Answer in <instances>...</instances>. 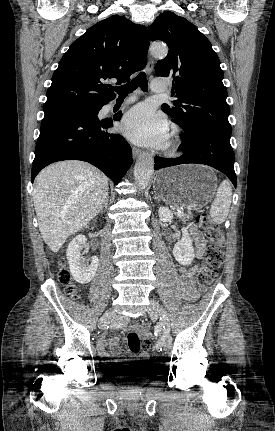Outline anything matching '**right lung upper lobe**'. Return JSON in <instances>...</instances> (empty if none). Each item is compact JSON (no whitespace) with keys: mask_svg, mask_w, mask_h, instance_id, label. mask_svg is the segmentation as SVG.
Here are the masks:
<instances>
[{"mask_svg":"<svg viewBox=\"0 0 275 431\" xmlns=\"http://www.w3.org/2000/svg\"><path fill=\"white\" fill-rule=\"evenodd\" d=\"M149 37L145 26L114 15L75 40L61 58L47 90L44 113L107 104L112 86L130 80L146 64Z\"/></svg>","mask_w":275,"mask_h":431,"instance_id":"right-lung-upper-lobe-1","label":"right lung upper lobe"}]
</instances>
